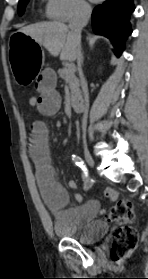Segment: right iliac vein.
<instances>
[{"label":"right iliac vein","mask_w":148,"mask_h":279,"mask_svg":"<svg viewBox=\"0 0 148 279\" xmlns=\"http://www.w3.org/2000/svg\"><path fill=\"white\" fill-rule=\"evenodd\" d=\"M84 156L90 167H94V160L87 149H84Z\"/></svg>","instance_id":"obj_1"}]
</instances>
